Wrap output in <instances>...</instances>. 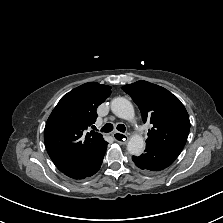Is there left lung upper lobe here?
Wrapping results in <instances>:
<instances>
[{
  "instance_id": "1",
  "label": "left lung upper lobe",
  "mask_w": 223,
  "mask_h": 223,
  "mask_svg": "<svg viewBox=\"0 0 223 223\" xmlns=\"http://www.w3.org/2000/svg\"><path fill=\"white\" fill-rule=\"evenodd\" d=\"M122 89L139 107L143 122H150L146 144L181 153L190 130L188 113L180 100L165 88L140 80Z\"/></svg>"
}]
</instances>
